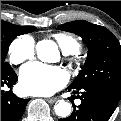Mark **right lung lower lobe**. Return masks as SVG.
<instances>
[{"label":"right lung lower lobe","instance_id":"1","mask_svg":"<svg viewBox=\"0 0 121 121\" xmlns=\"http://www.w3.org/2000/svg\"><path fill=\"white\" fill-rule=\"evenodd\" d=\"M17 79L12 68L1 69V87L8 86L11 88ZM29 100L18 98L12 89L5 93L1 90V121H19Z\"/></svg>","mask_w":121,"mask_h":121}]
</instances>
